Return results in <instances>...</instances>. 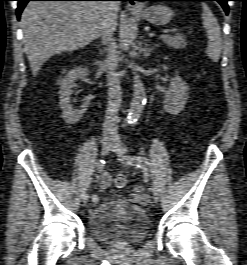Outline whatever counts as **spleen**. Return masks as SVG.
Returning a JSON list of instances; mask_svg holds the SVG:
<instances>
[{"instance_id": "spleen-1", "label": "spleen", "mask_w": 247, "mask_h": 265, "mask_svg": "<svg viewBox=\"0 0 247 265\" xmlns=\"http://www.w3.org/2000/svg\"><path fill=\"white\" fill-rule=\"evenodd\" d=\"M202 9V24L208 38L206 53L212 61L218 62L222 50L220 26L212 11L205 3H202Z\"/></svg>"}]
</instances>
